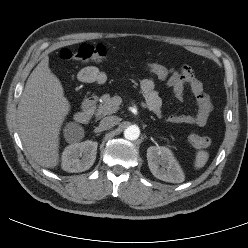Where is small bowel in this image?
<instances>
[{
	"label": "small bowel",
	"mask_w": 248,
	"mask_h": 248,
	"mask_svg": "<svg viewBox=\"0 0 248 248\" xmlns=\"http://www.w3.org/2000/svg\"><path fill=\"white\" fill-rule=\"evenodd\" d=\"M80 81L88 84L102 85L106 82V75L95 66H87L78 73ZM177 100H183L186 88H189L195 98L197 112L195 115L171 114L167 122L171 124H186L203 127L207 124L213 110L210 97L204 92L203 84L196 76L194 70L184 66L179 70H172L170 78L166 81ZM148 109L156 116L162 117V100L156 91V84L152 77H145L140 82Z\"/></svg>",
	"instance_id": "small-bowel-1"
}]
</instances>
